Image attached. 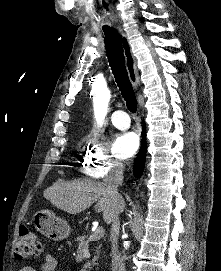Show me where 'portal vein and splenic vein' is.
<instances>
[{"instance_id":"1","label":"portal vein and splenic vein","mask_w":221,"mask_h":271,"mask_svg":"<svg viewBox=\"0 0 221 271\" xmlns=\"http://www.w3.org/2000/svg\"><path fill=\"white\" fill-rule=\"evenodd\" d=\"M103 229V226H98V228L92 233L94 238L92 237L90 240L95 242L97 240L96 238H102L104 232Z\"/></svg>"}]
</instances>
